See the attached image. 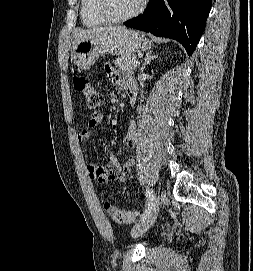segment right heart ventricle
<instances>
[{"instance_id":"obj_1","label":"right heart ventricle","mask_w":253,"mask_h":271,"mask_svg":"<svg viewBox=\"0 0 253 271\" xmlns=\"http://www.w3.org/2000/svg\"><path fill=\"white\" fill-rule=\"evenodd\" d=\"M80 17L83 25L88 28H95L108 23L97 10V0H81Z\"/></svg>"}]
</instances>
